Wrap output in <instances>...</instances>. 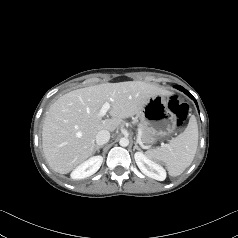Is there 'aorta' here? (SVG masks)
<instances>
[{"mask_svg":"<svg viewBox=\"0 0 238 238\" xmlns=\"http://www.w3.org/2000/svg\"><path fill=\"white\" fill-rule=\"evenodd\" d=\"M119 144H120V146H122V147H126V146L129 145V139L123 137V138L120 139Z\"/></svg>","mask_w":238,"mask_h":238,"instance_id":"aorta-1","label":"aorta"}]
</instances>
